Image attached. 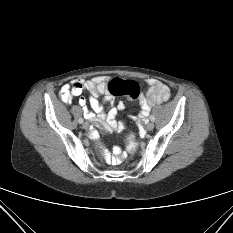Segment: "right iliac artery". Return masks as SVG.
<instances>
[{
	"label": "right iliac artery",
	"mask_w": 233,
	"mask_h": 233,
	"mask_svg": "<svg viewBox=\"0 0 233 233\" xmlns=\"http://www.w3.org/2000/svg\"><path fill=\"white\" fill-rule=\"evenodd\" d=\"M83 118H79V120H78V122L81 124V123H83Z\"/></svg>",
	"instance_id": "right-iliac-artery-1"
}]
</instances>
